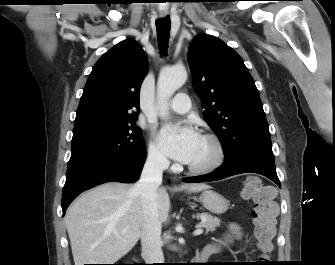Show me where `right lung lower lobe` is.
I'll list each match as a JSON object with an SVG mask.
<instances>
[{"label":"right lung lower lobe","instance_id":"right-lung-lower-lobe-1","mask_svg":"<svg viewBox=\"0 0 335 265\" xmlns=\"http://www.w3.org/2000/svg\"><path fill=\"white\" fill-rule=\"evenodd\" d=\"M146 153L130 159L93 158L68 166L62 191L63 216L69 204L83 191L101 183L138 180Z\"/></svg>","mask_w":335,"mask_h":265}]
</instances>
